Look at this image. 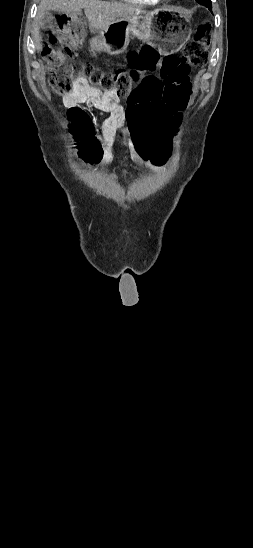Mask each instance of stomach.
Segmentation results:
<instances>
[{
	"label": "stomach",
	"mask_w": 253,
	"mask_h": 548,
	"mask_svg": "<svg viewBox=\"0 0 253 548\" xmlns=\"http://www.w3.org/2000/svg\"><path fill=\"white\" fill-rule=\"evenodd\" d=\"M187 22V17L174 8L140 10L100 32L93 39L92 48L96 52L119 55L126 50L130 38L137 37L160 53L170 54L189 40L191 30Z\"/></svg>",
	"instance_id": "stomach-1"
}]
</instances>
